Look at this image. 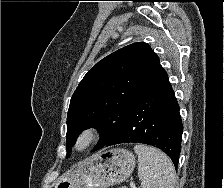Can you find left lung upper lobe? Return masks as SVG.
I'll return each instance as SVG.
<instances>
[{
  "mask_svg": "<svg viewBox=\"0 0 224 188\" xmlns=\"http://www.w3.org/2000/svg\"><path fill=\"white\" fill-rule=\"evenodd\" d=\"M167 75L157 54L144 42L123 47L92 67L75 90L67 115L68 154L84 129H99L103 147L135 100Z\"/></svg>",
  "mask_w": 224,
  "mask_h": 188,
  "instance_id": "5c2ea615",
  "label": "left lung upper lobe"
}]
</instances>
